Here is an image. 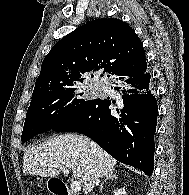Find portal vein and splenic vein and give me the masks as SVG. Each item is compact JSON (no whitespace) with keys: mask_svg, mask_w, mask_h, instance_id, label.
Instances as JSON below:
<instances>
[{"mask_svg":"<svg viewBox=\"0 0 189 195\" xmlns=\"http://www.w3.org/2000/svg\"><path fill=\"white\" fill-rule=\"evenodd\" d=\"M53 167L54 168H58V169H60V170H62L65 174H69V170H68V168H66V167H64V166H62V165H53ZM71 190L73 191V192H79L80 190H81V183L79 182V181H73L72 183H71Z\"/></svg>","mask_w":189,"mask_h":195,"instance_id":"1","label":"portal vein and splenic vein"}]
</instances>
